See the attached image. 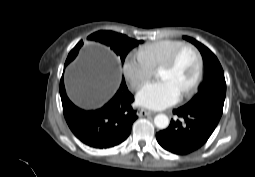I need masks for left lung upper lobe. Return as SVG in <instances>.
Instances as JSON below:
<instances>
[{
  "label": "left lung upper lobe",
  "instance_id": "1",
  "mask_svg": "<svg viewBox=\"0 0 255 177\" xmlns=\"http://www.w3.org/2000/svg\"><path fill=\"white\" fill-rule=\"evenodd\" d=\"M183 38L199 49L204 61V79L196 95L182 107L187 109L209 108L222 113L226 95V82L217 57L195 39L188 36H183Z\"/></svg>",
  "mask_w": 255,
  "mask_h": 177
}]
</instances>
